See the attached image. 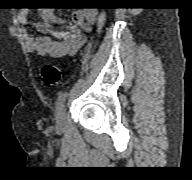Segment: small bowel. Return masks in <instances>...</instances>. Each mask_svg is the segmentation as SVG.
<instances>
[{
    "mask_svg": "<svg viewBox=\"0 0 192 180\" xmlns=\"http://www.w3.org/2000/svg\"><path fill=\"white\" fill-rule=\"evenodd\" d=\"M40 14L42 21L36 22L34 26L45 35L36 36L27 30L30 23L27 9H22L18 13L17 19L22 26V34L28 51L52 58L75 55L86 43L83 32L90 31L96 20L94 9L75 10L72 13L70 25L66 30H63L55 27L63 25L64 20L57 16L52 9L43 8Z\"/></svg>",
    "mask_w": 192,
    "mask_h": 180,
    "instance_id": "obj_1",
    "label": "small bowel"
}]
</instances>
